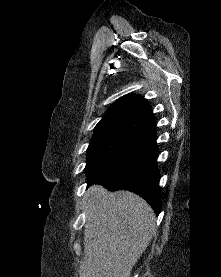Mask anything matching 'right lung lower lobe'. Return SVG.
Segmentation results:
<instances>
[{
	"label": "right lung lower lobe",
	"instance_id": "right-lung-lower-lobe-1",
	"mask_svg": "<svg viewBox=\"0 0 221 277\" xmlns=\"http://www.w3.org/2000/svg\"><path fill=\"white\" fill-rule=\"evenodd\" d=\"M146 137L115 169L104 176L88 180V186L102 184L109 190H129L143 197L158 215L161 208L159 172L156 165L158 148L153 114L146 115L142 124Z\"/></svg>",
	"mask_w": 221,
	"mask_h": 277
}]
</instances>
